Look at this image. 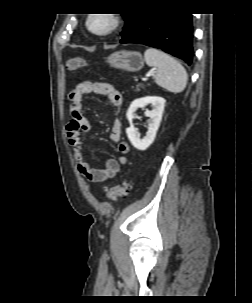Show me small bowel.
<instances>
[{"label":"small bowel","instance_id":"1","mask_svg":"<svg viewBox=\"0 0 252 303\" xmlns=\"http://www.w3.org/2000/svg\"><path fill=\"white\" fill-rule=\"evenodd\" d=\"M99 94L106 96L109 103L115 107L113 125L109 134L112 142L117 144L119 155L108 159L103 168H96L86 160L84 154V141L82 134L91 130L90 121L83 115V100L87 94ZM71 103L70 114L72 124L68 128V141L73 147L74 162L78 172L93 183H101L118 174L120 168L127 164L126 154L129 152V145L122 140V121L119 116V109L122 105V96L111 84L93 81L79 83L70 93Z\"/></svg>","mask_w":252,"mask_h":303}]
</instances>
